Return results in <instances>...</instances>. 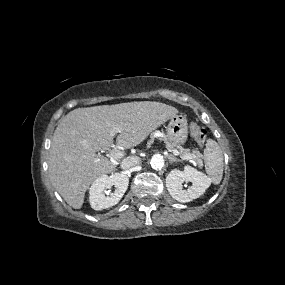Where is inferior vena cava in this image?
<instances>
[{"instance_id":"602c4592","label":"inferior vena cava","mask_w":285,"mask_h":285,"mask_svg":"<svg viewBox=\"0 0 285 285\" xmlns=\"http://www.w3.org/2000/svg\"><path fill=\"white\" fill-rule=\"evenodd\" d=\"M140 163V158L137 156L127 157L121 162L122 169H128Z\"/></svg>"}]
</instances>
